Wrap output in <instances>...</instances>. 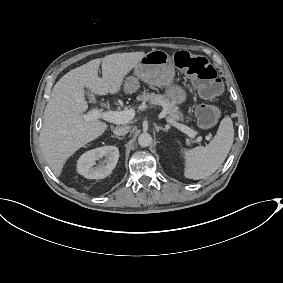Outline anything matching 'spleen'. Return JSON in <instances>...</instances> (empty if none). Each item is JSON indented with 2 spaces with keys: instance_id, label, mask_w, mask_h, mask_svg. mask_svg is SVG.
<instances>
[{
  "instance_id": "1",
  "label": "spleen",
  "mask_w": 283,
  "mask_h": 283,
  "mask_svg": "<svg viewBox=\"0 0 283 283\" xmlns=\"http://www.w3.org/2000/svg\"><path fill=\"white\" fill-rule=\"evenodd\" d=\"M233 139L232 120L230 116H225L208 146L180 150L184 160V176L188 179L199 180L212 175L226 159Z\"/></svg>"
}]
</instances>
